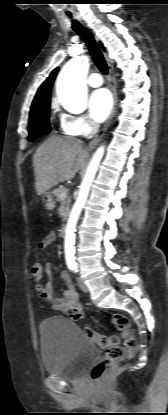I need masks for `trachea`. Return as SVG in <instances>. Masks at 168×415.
Here are the masks:
<instances>
[{
    "instance_id": "3493384b",
    "label": "trachea",
    "mask_w": 168,
    "mask_h": 415,
    "mask_svg": "<svg viewBox=\"0 0 168 415\" xmlns=\"http://www.w3.org/2000/svg\"><path fill=\"white\" fill-rule=\"evenodd\" d=\"M69 17H71L69 15ZM72 27L74 31L81 36L83 41L85 42L90 55L94 61V64L97 66V68L105 75L108 74V66L93 38L90 31L85 28L83 25H81L78 21L72 20Z\"/></svg>"
}]
</instances>
